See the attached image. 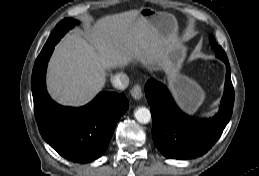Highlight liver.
I'll use <instances>...</instances> for the list:
<instances>
[{"instance_id":"liver-1","label":"liver","mask_w":259,"mask_h":176,"mask_svg":"<svg viewBox=\"0 0 259 176\" xmlns=\"http://www.w3.org/2000/svg\"><path fill=\"white\" fill-rule=\"evenodd\" d=\"M163 52V40L138 10L104 16L90 28L88 39L70 34L56 46L48 91L60 104L85 105L105 86L108 70L134 60L161 65Z\"/></svg>"}]
</instances>
